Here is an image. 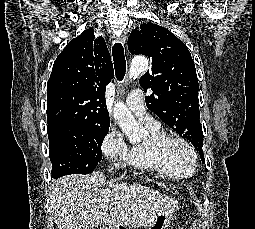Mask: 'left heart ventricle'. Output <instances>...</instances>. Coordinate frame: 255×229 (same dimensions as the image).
I'll use <instances>...</instances> for the list:
<instances>
[{
	"label": "left heart ventricle",
	"instance_id": "left-heart-ventricle-1",
	"mask_svg": "<svg viewBox=\"0 0 255 229\" xmlns=\"http://www.w3.org/2000/svg\"><path fill=\"white\" fill-rule=\"evenodd\" d=\"M169 153L171 157L176 161V162H186L189 158L190 155L189 153L180 145L178 144H172L169 146Z\"/></svg>",
	"mask_w": 255,
	"mask_h": 229
}]
</instances>
